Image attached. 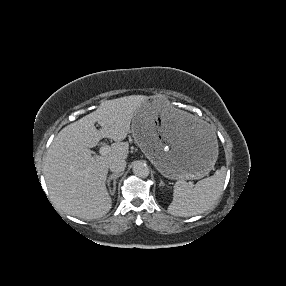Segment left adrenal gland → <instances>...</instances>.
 Wrapping results in <instances>:
<instances>
[{"instance_id":"a2214340","label":"left adrenal gland","mask_w":286,"mask_h":286,"mask_svg":"<svg viewBox=\"0 0 286 286\" xmlns=\"http://www.w3.org/2000/svg\"><path fill=\"white\" fill-rule=\"evenodd\" d=\"M160 186H164V183L162 181L160 182Z\"/></svg>"}]
</instances>
